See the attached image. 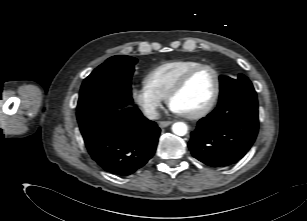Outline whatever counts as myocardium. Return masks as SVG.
Masks as SVG:
<instances>
[{"mask_svg": "<svg viewBox=\"0 0 307 221\" xmlns=\"http://www.w3.org/2000/svg\"><path fill=\"white\" fill-rule=\"evenodd\" d=\"M202 69H208L214 75L215 85H214V91H213L212 97L209 100V102L202 109L198 110L197 112H194V113H191V114H182V113L175 112L176 114H178L179 116H181L183 118L190 119V120H196V119H199V118L206 116L214 108V106L217 103V100L219 98L220 88H221V79H220L219 72L212 65L200 64V65L188 70L186 73H184L179 78V80L174 84V86L171 88V90L169 91V93L166 96L167 104L171 108V102L174 99V97L177 96L185 88V86L187 85V83L189 82L191 77Z\"/></svg>", "mask_w": 307, "mask_h": 221, "instance_id": "f54148a6", "label": "myocardium"}]
</instances>
